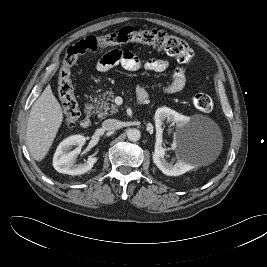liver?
<instances>
[{
    "instance_id": "1",
    "label": "liver",
    "mask_w": 267,
    "mask_h": 267,
    "mask_svg": "<svg viewBox=\"0 0 267 267\" xmlns=\"http://www.w3.org/2000/svg\"><path fill=\"white\" fill-rule=\"evenodd\" d=\"M62 121V108L51 86L47 85L34 102L27 122V145L34 160L42 161L45 158Z\"/></svg>"
}]
</instances>
